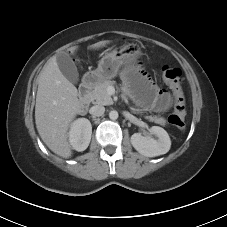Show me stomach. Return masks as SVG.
<instances>
[{
  "instance_id": "obj_1",
  "label": "stomach",
  "mask_w": 227,
  "mask_h": 227,
  "mask_svg": "<svg viewBox=\"0 0 227 227\" xmlns=\"http://www.w3.org/2000/svg\"><path fill=\"white\" fill-rule=\"evenodd\" d=\"M141 55L140 49L134 44H125L105 53L95 70L89 71L86 78L90 83L98 84L117 76L122 65L129 64Z\"/></svg>"
}]
</instances>
